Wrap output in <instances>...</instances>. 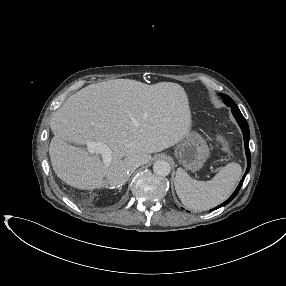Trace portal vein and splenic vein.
Instances as JSON below:
<instances>
[{"mask_svg":"<svg viewBox=\"0 0 286 286\" xmlns=\"http://www.w3.org/2000/svg\"><path fill=\"white\" fill-rule=\"evenodd\" d=\"M87 150L90 154H100L105 166H109L112 161L111 149L102 142H87Z\"/></svg>","mask_w":286,"mask_h":286,"instance_id":"obj_1","label":"portal vein and splenic vein"}]
</instances>
